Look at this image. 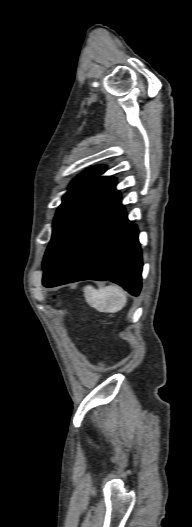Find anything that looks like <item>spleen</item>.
<instances>
[{
    "label": "spleen",
    "mask_w": 192,
    "mask_h": 527,
    "mask_svg": "<svg viewBox=\"0 0 192 527\" xmlns=\"http://www.w3.org/2000/svg\"><path fill=\"white\" fill-rule=\"evenodd\" d=\"M84 296L91 307L100 312L110 313L120 311L127 300L123 289L117 286L95 289L88 285L84 288Z\"/></svg>",
    "instance_id": "3e777b00"
}]
</instances>
